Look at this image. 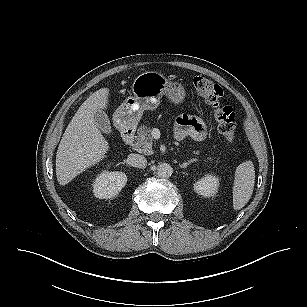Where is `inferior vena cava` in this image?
<instances>
[{
    "instance_id": "inferior-vena-cava-1",
    "label": "inferior vena cava",
    "mask_w": 307,
    "mask_h": 307,
    "mask_svg": "<svg viewBox=\"0 0 307 307\" xmlns=\"http://www.w3.org/2000/svg\"><path fill=\"white\" fill-rule=\"evenodd\" d=\"M128 163L133 167L145 168L147 160L143 155L132 153L128 156Z\"/></svg>"
}]
</instances>
